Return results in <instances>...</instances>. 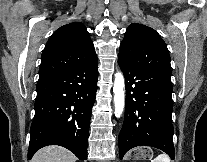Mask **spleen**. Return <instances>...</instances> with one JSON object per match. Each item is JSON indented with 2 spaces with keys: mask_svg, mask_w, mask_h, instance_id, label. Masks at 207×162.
Wrapping results in <instances>:
<instances>
[{
  "mask_svg": "<svg viewBox=\"0 0 207 162\" xmlns=\"http://www.w3.org/2000/svg\"><path fill=\"white\" fill-rule=\"evenodd\" d=\"M151 162H171V160L168 155L160 154L154 160H151Z\"/></svg>",
  "mask_w": 207,
  "mask_h": 162,
  "instance_id": "obj_1",
  "label": "spleen"
}]
</instances>
